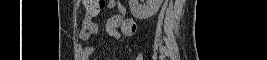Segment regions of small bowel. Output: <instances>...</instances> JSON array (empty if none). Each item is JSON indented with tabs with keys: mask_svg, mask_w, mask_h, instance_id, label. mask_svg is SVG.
I'll return each instance as SVG.
<instances>
[{
	"mask_svg": "<svg viewBox=\"0 0 267 60\" xmlns=\"http://www.w3.org/2000/svg\"><path fill=\"white\" fill-rule=\"evenodd\" d=\"M117 6L118 13L111 16L105 26L106 33L115 40L120 39L122 35L131 36L134 34L135 29L130 28L131 24H135L133 18L127 16L126 6L120 1L107 0L105 1L104 10L111 9ZM99 26L94 22L93 17H84L82 20L80 30H79V39L82 41H87L94 36H97L99 33ZM95 51V46H87L83 49V54L88 56Z\"/></svg>",
	"mask_w": 267,
	"mask_h": 60,
	"instance_id": "small-bowel-1",
	"label": "small bowel"
}]
</instances>
